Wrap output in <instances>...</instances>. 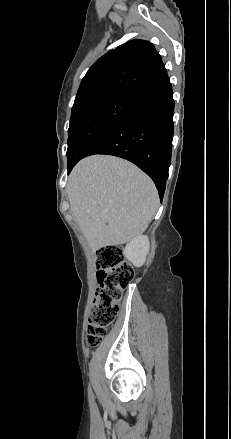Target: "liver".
<instances>
[{"label":"liver","instance_id":"obj_1","mask_svg":"<svg viewBox=\"0 0 231 439\" xmlns=\"http://www.w3.org/2000/svg\"><path fill=\"white\" fill-rule=\"evenodd\" d=\"M71 212L92 250L128 243L153 219L159 198L134 164L108 155L82 159L68 180Z\"/></svg>","mask_w":231,"mask_h":439}]
</instances>
